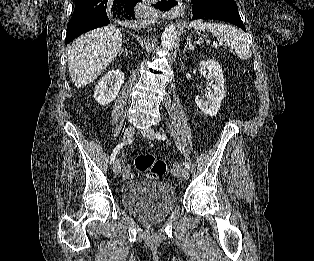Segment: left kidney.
<instances>
[{
	"label": "left kidney",
	"mask_w": 314,
	"mask_h": 261,
	"mask_svg": "<svg viewBox=\"0 0 314 261\" xmlns=\"http://www.w3.org/2000/svg\"><path fill=\"white\" fill-rule=\"evenodd\" d=\"M199 66L208 69V77L214 82L212 84L213 93L205 94L202 97L196 96L195 103L204 114L216 116L220 109L221 102L225 97V83L222 68L219 63L213 59L201 61Z\"/></svg>",
	"instance_id": "obj_1"
}]
</instances>
